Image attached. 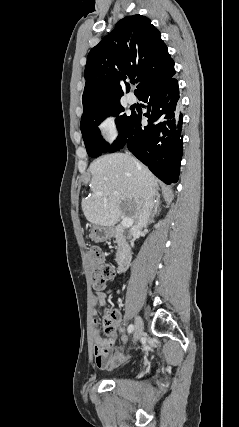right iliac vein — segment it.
<instances>
[{
    "instance_id": "obj_1",
    "label": "right iliac vein",
    "mask_w": 239,
    "mask_h": 427,
    "mask_svg": "<svg viewBox=\"0 0 239 427\" xmlns=\"http://www.w3.org/2000/svg\"><path fill=\"white\" fill-rule=\"evenodd\" d=\"M143 328H144L143 320L141 319V317L137 316L135 319V328H134V335H133L134 343H136L140 339L143 333Z\"/></svg>"
}]
</instances>
